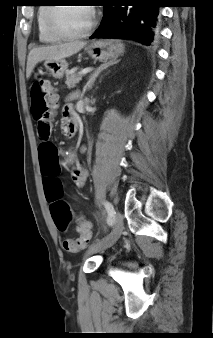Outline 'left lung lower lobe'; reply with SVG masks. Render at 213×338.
<instances>
[{"label":"left lung lower lobe","instance_id":"1","mask_svg":"<svg viewBox=\"0 0 213 338\" xmlns=\"http://www.w3.org/2000/svg\"><path fill=\"white\" fill-rule=\"evenodd\" d=\"M93 38L128 39L150 45L159 36L160 0H106Z\"/></svg>","mask_w":213,"mask_h":338}]
</instances>
